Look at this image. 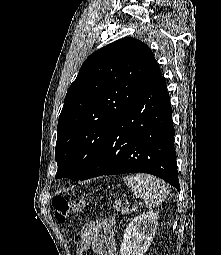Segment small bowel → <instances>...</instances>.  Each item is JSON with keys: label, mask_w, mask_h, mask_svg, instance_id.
<instances>
[{"label": "small bowel", "mask_w": 221, "mask_h": 255, "mask_svg": "<svg viewBox=\"0 0 221 255\" xmlns=\"http://www.w3.org/2000/svg\"><path fill=\"white\" fill-rule=\"evenodd\" d=\"M113 224L110 218L87 223L77 242V255H86L89 250L94 255H117Z\"/></svg>", "instance_id": "small-bowel-1"}]
</instances>
